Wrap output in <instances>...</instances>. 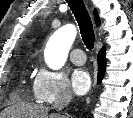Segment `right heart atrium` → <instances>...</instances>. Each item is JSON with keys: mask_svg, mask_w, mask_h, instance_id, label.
<instances>
[{"mask_svg": "<svg viewBox=\"0 0 133 118\" xmlns=\"http://www.w3.org/2000/svg\"><path fill=\"white\" fill-rule=\"evenodd\" d=\"M34 93L36 98L45 104L71 97V90L66 76L55 70L39 68L34 77Z\"/></svg>", "mask_w": 133, "mask_h": 118, "instance_id": "d8ad5b80", "label": "right heart atrium"}]
</instances>
